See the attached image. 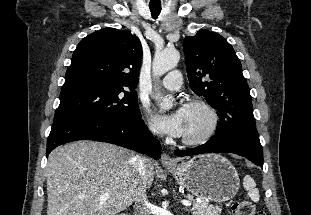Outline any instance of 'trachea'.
Wrapping results in <instances>:
<instances>
[{
    "instance_id": "1",
    "label": "trachea",
    "mask_w": 311,
    "mask_h": 215,
    "mask_svg": "<svg viewBox=\"0 0 311 215\" xmlns=\"http://www.w3.org/2000/svg\"><path fill=\"white\" fill-rule=\"evenodd\" d=\"M149 7H150L152 17L154 19H157L161 12V6H149Z\"/></svg>"
}]
</instances>
